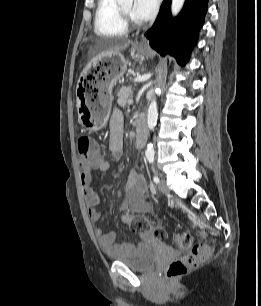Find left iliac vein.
<instances>
[{
    "instance_id": "4c4485c4",
    "label": "left iliac vein",
    "mask_w": 261,
    "mask_h": 306,
    "mask_svg": "<svg viewBox=\"0 0 261 306\" xmlns=\"http://www.w3.org/2000/svg\"><path fill=\"white\" fill-rule=\"evenodd\" d=\"M158 189H159V192L161 194H168L169 193V188L166 184V180L164 178L161 179L160 183L158 184Z\"/></svg>"
}]
</instances>
